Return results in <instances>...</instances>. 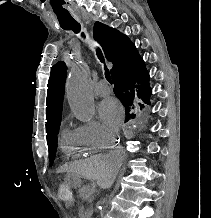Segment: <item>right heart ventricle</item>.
Here are the masks:
<instances>
[{"mask_svg":"<svg viewBox=\"0 0 211 218\" xmlns=\"http://www.w3.org/2000/svg\"><path fill=\"white\" fill-rule=\"evenodd\" d=\"M61 148L63 157H77L83 154L94 153L100 148L89 146L79 139L75 131L64 129L61 133Z\"/></svg>","mask_w":211,"mask_h":218,"instance_id":"right-heart-ventricle-1","label":"right heart ventricle"}]
</instances>
